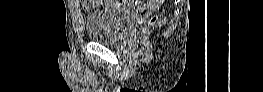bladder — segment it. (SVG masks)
<instances>
[{
    "label": "bladder",
    "mask_w": 263,
    "mask_h": 92,
    "mask_svg": "<svg viewBox=\"0 0 263 92\" xmlns=\"http://www.w3.org/2000/svg\"><path fill=\"white\" fill-rule=\"evenodd\" d=\"M137 12L113 6L100 7L85 19V30L90 40L112 44L133 27Z\"/></svg>",
    "instance_id": "1"
}]
</instances>
